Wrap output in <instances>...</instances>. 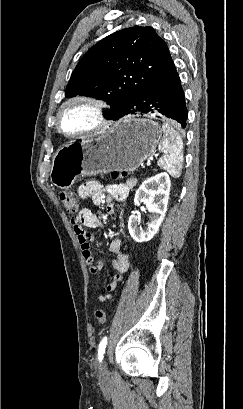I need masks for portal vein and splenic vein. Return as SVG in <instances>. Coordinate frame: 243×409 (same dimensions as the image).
<instances>
[{
    "instance_id": "portal-vein-and-splenic-vein-1",
    "label": "portal vein and splenic vein",
    "mask_w": 243,
    "mask_h": 409,
    "mask_svg": "<svg viewBox=\"0 0 243 409\" xmlns=\"http://www.w3.org/2000/svg\"><path fill=\"white\" fill-rule=\"evenodd\" d=\"M147 165L149 166V165H150V162H148Z\"/></svg>"
}]
</instances>
